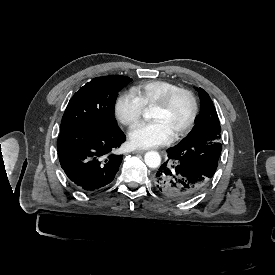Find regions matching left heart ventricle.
Wrapping results in <instances>:
<instances>
[{"label":"left heart ventricle","instance_id":"b2bd125f","mask_svg":"<svg viewBox=\"0 0 275 275\" xmlns=\"http://www.w3.org/2000/svg\"><path fill=\"white\" fill-rule=\"evenodd\" d=\"M191 114V104L189 99L183 95H178L166 109L152 108L151 120L162 123L173 136L189 120Z\"/></svg>","mask_w":275,"mask_h":275}]
</instances>
